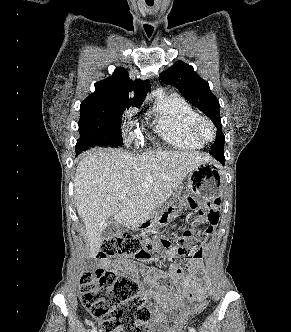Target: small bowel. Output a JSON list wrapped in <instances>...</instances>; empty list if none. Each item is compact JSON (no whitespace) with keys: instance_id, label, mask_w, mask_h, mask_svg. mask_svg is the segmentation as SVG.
<instances>
[{"instance_id":"obj_1","label":"small bowel","mask_w":291,"mask_h":332,"mask_svg":"<svg viewBox=\"0 0 291 332\" xmlns=\"http://www.w3.org/2000/svg\"><path fill=\"white\" fill-rule=\"evenodd\" d=\"M176 247L167 249V257L175 256ZM191 275H184L182 269L176 264H170L167 271L160 270L156 266H146L130 258L124 257L113 262L104 258L100 263L104 267H116L119 270L142 279L144 285L142 297L150 303L153 311V319L150 324V332H166L173 319L174 311L184 308L187 302H193L206 295V287L197 277L204 268L202 262V249L199 256L188 258ZM164 278L172 281V286L161 283Z\"/></svg>"}]
</instances>
